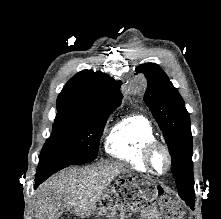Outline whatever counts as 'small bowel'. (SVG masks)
I'll list each match as a JSON object with an SVG mask.
<instances>
[{
    "label": "small bowel",
    "instance_id": "small-bowel-1",
    "mask_svg": "<svg viewBox=\"0 0 221 219\" xmlns=\"http://www.w3.org/2000/svg\"><path fill=\"white\" fill-rule=\"evenodd\" d=\"M143 219H155V210L147 208L143 211Z\"/></svg>",
    "mask_w": 221,
    "mask_h": 219
}]
</instances>
